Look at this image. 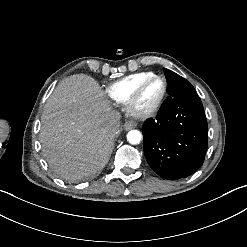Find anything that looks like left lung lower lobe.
Wrapping results in <instances>:
<instances>
[{"mask_svg":"<svg viewBox=\"0 0 247 247\" xmlns=\"http://www.w3.org/2000/svg\"><path fill=\"white\" fill-rule=\"evenodd\" d=\"M142 133L145 158L165 179L186 178L204 162L208 130L199 96L174 98L162 105L156 119L144 123Z\"/></svg>","mask_w":247,"mask_h":247,"instance_id":"1","label":"left lung lower lobe"}]
</instances>
